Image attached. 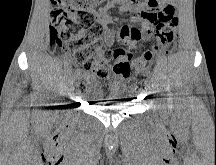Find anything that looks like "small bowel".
<instances>
[{"label": "small bowel", "instance_id": "small-bowel-1", "mask_svg": "<svg viewBox=\"0 0 216 165\" xmlns=\"http://www.w3.org/2000/svg\"><path fill=\"white\" fill-rule=\"evenodd\" d=\"M177 0H144V2H136L135 0H110V3L100 8L95 12L97 21L104 28V42L106 46H112L115 41V32L108 28L111 23L116 21L108 15V9L110 7L119 5L122 13H141L142 17H134L132 23L137 26V28L142 34L147 36L152 30V21L150 15L158 13L160 10H175V4ZM139 39L133 40L129 43V46H134ZM130 71L121 72L117 75L122 77H128ZM94 89V85H92Z\"/></svg>", "mask_w": 216, "mask_h": 165}]
</instances>
